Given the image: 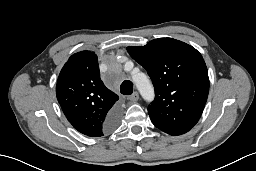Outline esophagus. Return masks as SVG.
Segmentation results:
<instances>
[{
	"label": "esophagus",
	"instance_id": "34e87169",
	"mask_svg": "<svg viewBox=\"0 0 256 171\" xmlns=\"http://www.w3.org/2000/svg\"><path fill=\"white\" fill-rule=\"evenodd\" d=\"M128 99L133 103L136 102L139 99V93L134 92L132 95L128 97Z\"/></svg>",
	"mask_w": 256,
	"mask_h": 171
}]
</instances>
